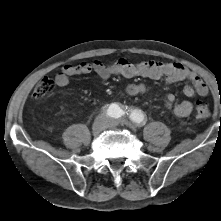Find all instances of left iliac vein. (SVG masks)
<instances>
[{"instance_id": "4c4485c4", "label": "left iliac vein", "mask_w": 221, "mask_h": 221, "mask_svg": "<svg viewBox=\"0 0 221 221\" xmlns=\"http://www.w3.org/2000/svg\"><path fill=\"white\" fill-rule=\"evenodd\" d=\"M119 123H120L119 120L111 119V120H109L108 127L114 128V127H116ZM126 123H128V122H126Z\"/></svg>"}]
</instances>
